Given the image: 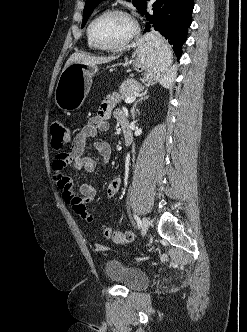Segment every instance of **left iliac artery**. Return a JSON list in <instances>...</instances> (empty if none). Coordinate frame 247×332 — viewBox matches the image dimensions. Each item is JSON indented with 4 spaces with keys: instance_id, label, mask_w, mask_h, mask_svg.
<instances>
[{
    "instance_id": "obj_1",
    "label": "left iliac artery",
    "mask_w": 247,
    "mask_h": 332,
    "mask_svg": "<svg viewBox=\"0 0 247 332\" xmlns=\"http://www.w3.org/2000/svg\"><path fill=\"white\" fill-rule=\"evenodd\" d=\"M134 218H135V220L137 222L138 228H140V226H141V220H140V218L137 215H135V214H134Z\"/></svg>"
}]
</instances>
